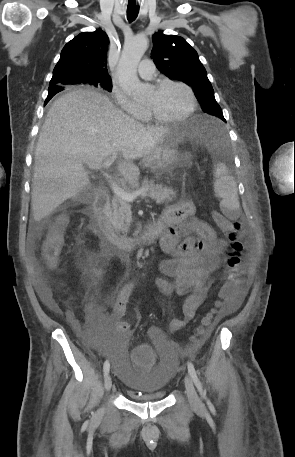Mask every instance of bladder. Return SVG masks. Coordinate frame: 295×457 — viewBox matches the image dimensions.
Segmentation results:
<instances>
[{"instance_id":"obj_1","label":"bladder","mask_w":295,"mask_h":457,"mask_svg":"<svg viewBox=\"0 0 295 457\" xmlns=\"http://www.w3.org/2000/svg\"><path fill=\"white\" fill-rule=\"evenodd\" d=\"M128 338H95L94 346L101 347L102 356L116 365L119 378L126 387L128 396L136 401L162 400L166 397V387L171 378L169 369H178L173 345L156 342L155 350L160 354L161 363L154 374H135L131 369L133 360L128 347Z\"/></svg>"}]
</instances>
